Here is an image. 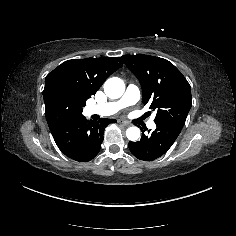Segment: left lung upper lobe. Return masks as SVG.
<instances>
[{
	"label": "left lung upper lobe",
	"instance_id": "obj_1",
	"mask_svg": "<svg viewBox=\"0 0 236 236\" xmlns=\"http://www.w3.org/2000/svg\"><path fill=\"white\" fill-rule=\"evenodd\" d=\"M123 60L139 79L144 105L157 111L155 123L184 125L192 106L191 87L181 72L169 61L147 55H124Z\"/></svg>",
	"mask_w": 236,
	"mask_h": 236
}]
</instances>
